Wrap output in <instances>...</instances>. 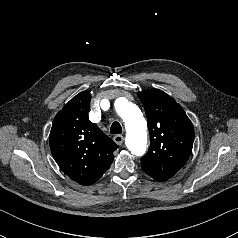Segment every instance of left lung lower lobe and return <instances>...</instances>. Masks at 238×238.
<instances>
[{
    "label": "left lung lower lobe",
    "instance_id": "1",
    "mask_svg": "<svg viewBox=\"0 0 238 238\" xmlns=\"http://www.w3.org/2000/svg\"><path fill=\"white\" fill-rule=\"evenodd\" d=\"M145 173H147L149 176H151L152 178H154L155 180L159 181V182H162V181H165L167 180L168 178H165V177H160V176H156L148 171H144Z\"/></svg>",
    "mask_w": 238,
    "mask_h": 238
}]
</instances>
